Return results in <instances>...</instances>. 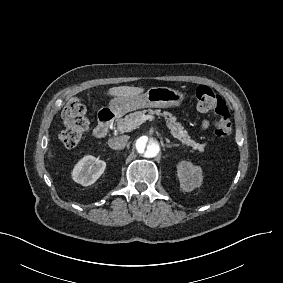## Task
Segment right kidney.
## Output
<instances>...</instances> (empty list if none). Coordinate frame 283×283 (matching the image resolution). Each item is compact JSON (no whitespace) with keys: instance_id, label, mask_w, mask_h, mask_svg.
<instances>
[{"instance_id":"obj_1","label":"right kidney","mask_w":283,"mask_h":283,"mask_svg":"<svg viewBox=\"0 0 283 283\" xmlns=\"http://www.w3.org/2000/svg\"><path fill=\"white\" fill-rule=\"evenodd\" d=\"M106 167L104 161L98 160L93 156L83 158L73 171V179L75 182L89 186L103 174Z\"/></svg>"}]
</instances>
